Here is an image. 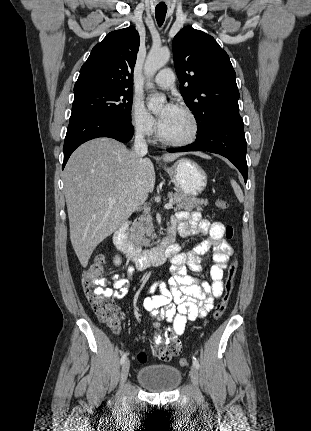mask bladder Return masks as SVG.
Instances as JSON below:
<instances>
[{
    "mask_svg": "<svg viewBox=\"0 0 311 431\" xmlns=\"http://www.w3.org/2000/svg\"><path fill=\"white\" fill-rule=\"evenodd\" d=\"M137 381L151 392L167 393L181 384L182 372L171 364H149L138 370Z\"/></svg>",
    "mask_w": 311,
    "mask_h": 431,
    "instance_id": "31cf9c89",
    "label": "bladder"
}]
</instances>
